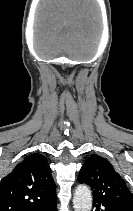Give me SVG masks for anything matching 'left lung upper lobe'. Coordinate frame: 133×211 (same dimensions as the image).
I'll return each instance as SVG.
<instances>
[{"mask_svg":"<svg viewBox=\"0 0 133 211\" xmlns=\"http://www.w3.org/2000/svg\"><path fill=\"white\" fill-rule=\"evenodd\" d=\"M78 181L91 187L94 202L117 211H133L132 193L111 163L92 155L82 166Z\"/></svg>","mask_w":133,"mask_h":211,"instance_id":"obj_1","label":"left lung upper lobe"}]
</instances>
